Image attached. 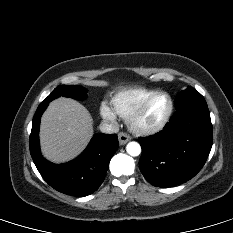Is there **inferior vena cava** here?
Here are the masks:
<instances>
[{
	"label": "inferior vena cava",
	"instance_id": "obj_1",
	"mask_svg": "<svg viewBox=\"0 0 233 233\" xmlns=\"http://www.w3.org/2000/svg\"><path fill=\"white\" fill-rule=\"evenodd\" d=\"M99 129L102 133H108V134L117 133L119 131V127L117 124L109 123L107 121L101 122Z\"/></svg>",
	"mask_w": 233,
	"mask_h": 233
}]
</instances>
